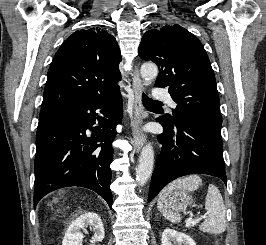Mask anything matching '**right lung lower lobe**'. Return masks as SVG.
<instances>
[{
    "label": "right lung lower lobe",
    "mask_w": 266,
    "mask_h": 245,
    "mask_svg": "<svg viewBox=\"0 0 266 245\" xmlns=\"http://www.w3.org/2000/svg\"><path fill=\"white\" fill-rule=\"evenodd\" d=\"M121 117L122 101L117 91L71 104L40 119L36 134L34 208L49 192L70 186L94 190L112 208L111 143ZM96 121L99 126L92 127Z\"/></svg>",
    "instance_id": "98d812e1"
}]
</instances>
